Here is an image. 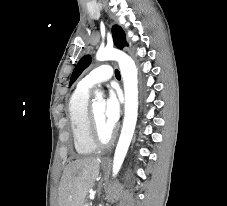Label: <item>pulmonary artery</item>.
<instances>
[{"instance_id":"pulmonary-artery-1","label":"pulmonary artery","mask_w":227,"mask_h":206,"mask_svg":"<svg viewBox=\"0 0 227 206\" xmlns=\"http://www.w3.org/2000/svg\"><path fill=\"white\" fill-rule=\"evenodd\" d=\"M114 75L113 69L110 65H101L93 69L87 74L78 84L80 88L90 90L91 88L106 82Z\"/></svg>"}]
</instances>
